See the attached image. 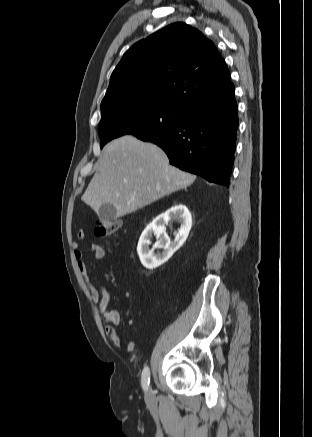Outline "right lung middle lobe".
<instances>
[{"instance_id": "dd1d6c3e", "label": "right lung middle lobe", "mask_w": 312, "mask_h": 437, "mask_svg": "<svg viewBox=\"0 0 312 437\" xmlns=\"http://www.w3.org/2000/svg\"><path fill=\"white\" fill-rule=\"evenodd\" d=\"M186 109L161 102L132 103L101 116L98 126L101 148L110 140L132 134L141 140L157 136L177 126Z\"/></svg>"}]
</instances>
